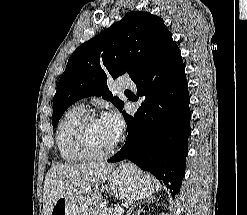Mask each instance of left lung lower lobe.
Returning a JSON list of instances; mask_svg holds the SVG:
<instances>
[{
  "instance_id": "obj_1",
  "label": "left lung lower lobe",
  "mask_w": 247,
  "mask_h": 215,
  "mask_svg": "<svg viewBox=\"0 0 247 215\" xmlns=\"http://www.w3.org/2000/svg\"><path fill=\"white\" fill-rule=\"evenodd\" d=\"M133 81L143 102L133 117L123 112L128 136L108 162L132 161L166 184L174 198L185 174L191 113L185 65L172 38Z\"/></svg>"
}]
</instances>
